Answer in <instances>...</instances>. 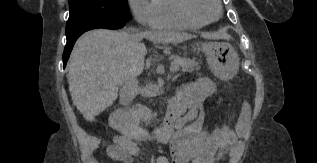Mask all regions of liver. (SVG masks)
Masks as SVG:
<instances>
[{"instance_id": "6515ba94", "label": "liver", "mask_w": 317, "mask_h": 163, "mask_svg": "<svg viewBox=\"0 0 317 163\" xmlns=\"http://www.w3.org/2000/svg\"><path fill=\"white\" fill-rule=\"evenodd\" d=\"M193 37L187 33H138L132 29L86 32L76 42L67 66L73 104L85 120L95 121L117 99L119 86L143 72L147 54L143 39L154 44H177Z\"/></svg>"}]
</instances>
